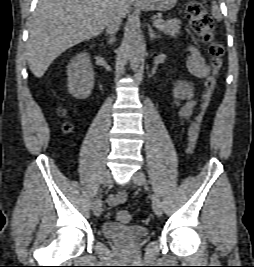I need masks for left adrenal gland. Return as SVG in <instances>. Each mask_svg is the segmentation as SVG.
Returning a JSON list of instances; mask_svg holds the SVG:
<instances>
[{
    "label": "left adrenal gland",
    "mask_w": 254,
    "mask_h": 267,
    "mask_svg": "<svg viewBox=\"0 0 254 267\" xmlns=\"http://www.w3.org/2000/svg\"><path fill=\"white\" fill-rule=\"evenodd\" d=\"M148 33H149L150 40H153L155 38H160V35L155 33L150 25H148Z\"/></svg>",
    "instance_id": "a2214340"
}]
</instances>
